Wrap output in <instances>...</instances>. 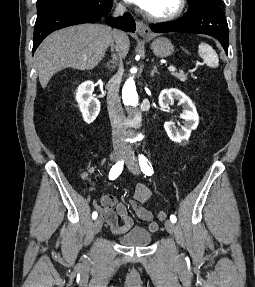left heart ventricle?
Listing matches in <instances>:
<instances>
[{"label":"left heart ventricle","instance_id":"1","mask_svg":"<svg viewBox=\"0 0 255 287\" xmlns=\"http://www.w3.org/2000/svg\"><path fill=\"white\" fill-rule=\"evenodd\" d=\"M150 33H165V32H150ZM152 39H160V38H152ZM139 48H145V47H139ZM153 48H170V47H153Z\"/></svg>","mask_w":255,"mask_h":287}]
</instances>
